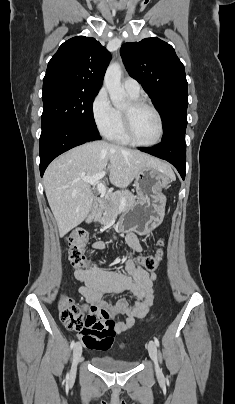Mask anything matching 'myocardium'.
Masks as SVG:
<instances>
[{
  "label": "myocardium",
  "mask_w": 235,
  "mask_h": 404,
  "mask_svg": "<svg viewBox=\"0 0 235 404\" xmlns=\"http://www.w3.org/2000/svg\"><path fill=\"white\" fill-rule=\"evenodd\" d=\"M141 108H148L150 109L157 117L158 120V125H159V134L158 137L156 138L155 141L150 142V143H143L138 141L133 133V114L141 109ZM122 122H123V130L125 133V136L127 139L130 141V143L140 146V147H151L159 144L163 138L164 135V124H163V119L158 111V109L153 106L151 103L141 100V99H134L131 100L128 104L127 109L122 110Z\"/></svg>",
  "instance_id": "f54148a6"
}]
</instances>
